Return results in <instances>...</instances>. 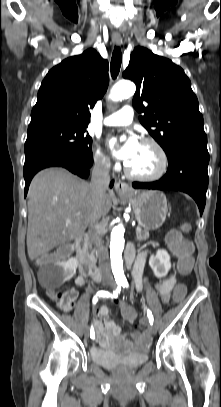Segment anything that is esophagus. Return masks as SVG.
<instances>
[{
    "mask_svg": "<svg viewBox=\"0 0 221 407\" xmlns=\"http://www.w3.org/2000/svg\"><path fill=\"white\" fill-rule=\"evenodd\" d=\"M112 40L116 45H121L122 44V37L120 35H113ZM115 190L118 194H128L131 192L129 186L127 183L123 181H117L115 183Z\"/></svg>",
    "mask_w": 221,
    "mask_h": 407,
    "instance_id": "34e87169",
    "label": "esophagus"
}]
</instances>
